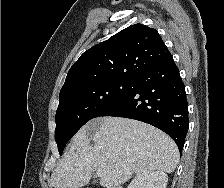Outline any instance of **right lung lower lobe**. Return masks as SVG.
I'll return each instance as SVG.
<instances>
[{"label":"right lung lower lobe","instance_id":"right-lung-lower-lobe-1","mask_svg":"<svg viewBox=\"0 0 224 188\" xmlns=\"http://www.w3.org/2000/svg\"><path fill=\"white\" fill-rule=\"evenodd\" d=\"M102 116L151 124L167 133L181 153L189 127L188 103L172 56L132 78L125 97Z\"/></svg>","mask_w":224,"mask_h":188}]
</instances>
